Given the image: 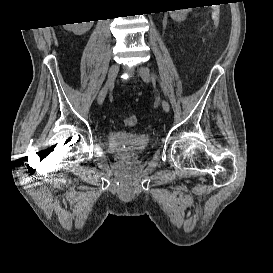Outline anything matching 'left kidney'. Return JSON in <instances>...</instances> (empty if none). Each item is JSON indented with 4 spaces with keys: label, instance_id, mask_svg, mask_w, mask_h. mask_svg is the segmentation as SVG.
Segmentation results:
<instances>
[{
    "label": "left kidney",
    "instance_id": "left-kidney-1",
    "mask_svg": "<svg viewBox=\"0 0 273 273\" xmlns=\"http://www.w3.org/2000/svg\"><path fill=\"white\" fill-rule=\"evenodd\" d=\"M192 8H188V9H180V10H173V11H169L170 17L177 21V22H181L184 21L187 17V14L189 12H191Z\"/></svg>",
    "mask_w": 273,
    "mask_h": 273
}]
</instances>
